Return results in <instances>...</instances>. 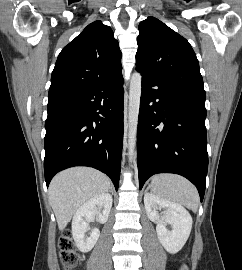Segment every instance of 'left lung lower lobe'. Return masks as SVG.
<instances>
[{"instance_id":"1","label":"left lung lower lobe","mask_w":242,"mask_h":270,"mask_svg":"<svg viewBox=\"0 0 242 270\" xmlns=\"http://www.w3.org/2000/svg\"><path fill=\"white\" fill-rule=\"evenodd\" d=\"M205 96L175 90L142 74L137 129L139 188L157 173L190 180L203 200L208 169Z\"/></svg>"}]
</instances>
